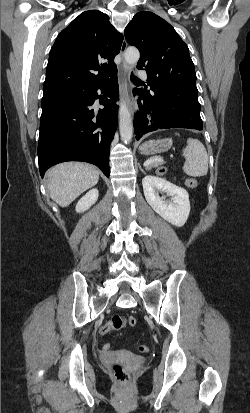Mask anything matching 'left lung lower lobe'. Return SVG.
Here are the masks:
<instances>
[{
    "instance_id": "obj_1",
    "label": "left lung lower lobe",
    "mask_w": 250,
    "mask_h": 413,
    "mask_svg": "<svg viewBox=\"0 0 250 413\" xmlns=\"http://www.w3.org/2000/svg\"><path fill=\"white\" fill-rule=\"evenodd\" d=\"M147 88H134L139 96V112L133 122L136 139L158 129L188 128L202 130L196 84L182 85L173 81Z\"/></svg>"
}]
</instances>
